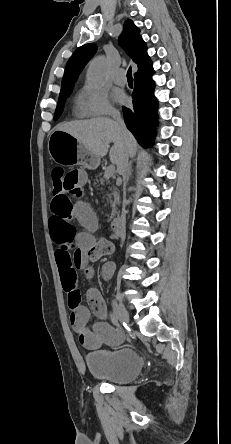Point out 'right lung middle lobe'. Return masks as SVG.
Wrapping results in <instances>:
<instances>
[{
  "mask_svg": "<svg viewBox=\"0 0 231 444\" xmlns=\"http://www.w3.org/2000/svg\"><path fill=\"white\" fill-rule=\"evenodd\" d=\"M71 91H72V89L60 93L58 103H57V108L55 111L54 120H57L59 118V116L61 115L64 102H65L66 98L70 95Z\"/></svg>",
  "mask_w": 231,
  "mask_h": 444,
  "instance_id": "1",
  "label": "right lung middle lobe"
}]
</instances>
